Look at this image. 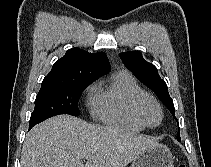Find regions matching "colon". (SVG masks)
I'll list each match as a JSON object with an SVG mask.
<instances>
[{"mask_svg":"<svg viewBox=\"0 0 211 167\" xmlns=\"http://www.w3.org/2000/svg\"><path fill=\"white\" fill-rule=\"evenodd\" d=\"M178 167H185V165H179Z\"/></svg>","mask_w":211,"mask_h":167,"instance_id":"colon-1","label":"colon"}]
</instances>
